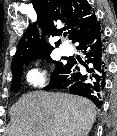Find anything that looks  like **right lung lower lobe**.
Wrapping results in <instances>:
<instances>
[{
    "label": "right lung lower lobe",
    "instance_id": "98d812e1",
    "mask_svg": "<svg viewBox=\"0 0 117 136\" xmlns=\"http://www.w3.org/2000/svg\"><path fill=\"white\" fill-rule=\"evenodd\" d=\"M78 49L86 56L85 68L80 69L78 61L71 59L51 78L46 89H65L70 94L84 96L101 108L102 92L107 75L106 45L100 22L84 31L79 39Z\"/></svg>",
    "mask_w": 117,
    "mask_h": 136
}]
</instances>
